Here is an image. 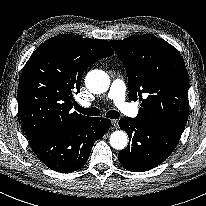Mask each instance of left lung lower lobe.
<instances>
[{
    "label": "left lung lower lobe",
    "mask_w": 206,
    "mask_h": 206,
    "mask_svg": "<svg viewBox=\"0 0 206 206\" xmlns=\"http://www.w3.org/2000/svg\"><path fill=\"white\" fill-rule=\"evenodd\" d=\"M121 129L129 136V145L118 154L121 165L133 172H143L161 164L175 149L181 133L149 126L133 118H122Z\"/></svg>",
    "instance_id": "0a47b994"
}]
</instances>
